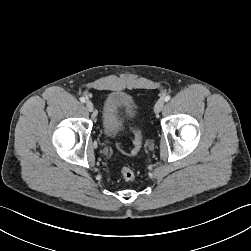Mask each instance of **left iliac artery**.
I'll list each match as a JSON object with an SVG mask.
<instances>
[{
    "mask_svg": "<svg viewBox=\"0 0 251 251\" xmlns=\"http://www.w3.org/2000/svg\"><path fill=\"white\" fill-rule=\"evenodd\" d=\"M164 100L168 102L170 100V96L169 95L165 96Z\"/></svg>",
    "mask_w": 251,
    "mask_h": 251,
    "instance_id": "44dca946",
    "label": "left iliac artery"
}]
</instances>
